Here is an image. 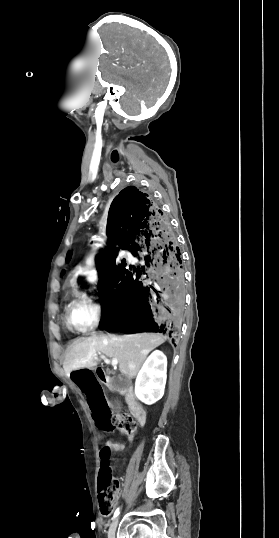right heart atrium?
<instances>
[{
	"instance_id": "d8ad5b80",
	"label": "right heart atrium",
	"mask_w": 279,
	"mask_h": 538,
	"mask_svg": "<svg viewBox=\"0 0 279 538\" xmlns=\"http://www.w3.org/2000/svg\"><path fill=\"white\" fill-rule=\"evenodd\" d=\"M106 227L107 223L104 222ZM81 298L84 303V317L86 328H92L97 325L102 312L101 289L99 281L95 275H91L88 279V284L81 292Z\"/></svg>"
}]
</instances>
